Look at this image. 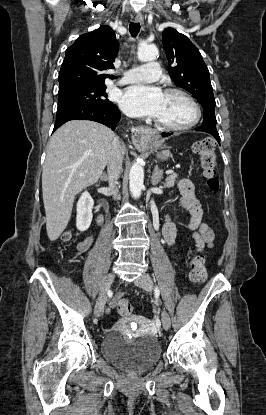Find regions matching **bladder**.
Instances as JSON below:
<instances>
[{
  "label": "bladder",
  "instance_id": "bladder-1",
  "mask_svg": "<svg viewBox=\"0 0 266 415\" xmlns=\"http://www.w3.org/2000/svg\"><path fill=\"white\" fill-rule=\"evenodd\" d=\"M101 352L110 362L129 373H143L160 359L161 345L153 336L129 340L118 331L109 332L102 340Z\"/></svg>",
  "mask_w": 266,
  "mask_h": 415
}]
</instances>
